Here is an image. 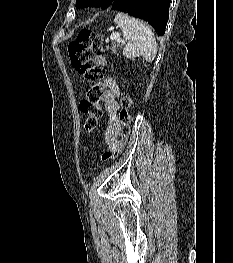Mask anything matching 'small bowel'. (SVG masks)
I'll return each instance as SVG.
<instances>
[{"label":"small bowel","mask_w":233,"mask_h":263,"mask_svg":"<svg viewBox=\"0 0 233 263\" xmlns=\"http://www.w3.org/2000/svg\"><path fill=\"white\" fill-rule=\"evenodd\" d=\"M94 62L98 67H105L106 60L101 55H96ZM120 95V88L115 78L107 77L104 80V90L102 100L105 104V113L107 115L108 126L104 133V141L111 152H115L120 145L121 123L117 117L119 105L117 98Z\"/></svg>","instance_id":"small-bowel-1"}]
</instances>
